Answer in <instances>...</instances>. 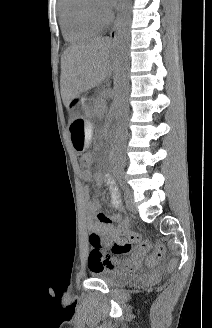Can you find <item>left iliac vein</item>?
<instances>
[{"instance_id": "left-iliac-vein-1", "label": "left iliac vein", "mask_w": 212, "mask_h": 328, "mask_svg": "<svg viewBox=\"0 0 212 328\" xmlns=\"http://www.w3.org/2000/svg\"><path fill=\"white\" fill-rule=\"evenodd\" d=\"M125 203H126V207L127 209L132 212V213H136L137 212V208L135 206L134 200H133V195L130 189H127L125 192Z\"/></svg>"}]
</instances>
